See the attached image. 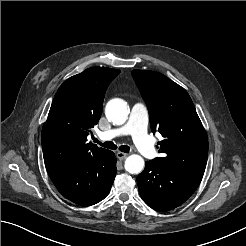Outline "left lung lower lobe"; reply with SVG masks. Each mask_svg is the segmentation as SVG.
I'll return each instance as SVG.
<instances>
[{
	"mask_svg": "<svg viewBox=\"0 0 246 246\" xmlns=\"http://www.w3.org/2000/svg\"><path fill=\"white\" fill-rule=\"evenodd\" d=\"M203 173L147 161L137 177L141 198L151 208L169 211L183 204L199 186Z\"/></svg>",
	"mask_w": 246,
	"mask_h": 246,
	"instance_id": "0a47b994",
	"label": "left lung lower lobe"
}]
</instances>
